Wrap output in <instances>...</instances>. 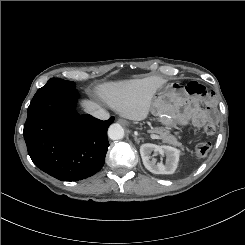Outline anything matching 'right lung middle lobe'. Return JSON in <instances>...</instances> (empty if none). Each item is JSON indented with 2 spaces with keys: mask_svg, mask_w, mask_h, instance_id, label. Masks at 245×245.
<instances>
[{
  "mask_svg": "<svg viewBox=\"0 0 245 245\" xmlns=\"http://www.w3.org/2000/svg\"><path fill=\"white\" fill-rule=\"evenodd\" d=\"M57 82L70 83V84H72V85H75V83H74V82L65 81V80L60 79V78H51V79H50V80L47 82V84L57 83ZM47 84H46V85H47Z\"/></svg>",
  "mask_w": 245,
  "mask_h": 245,
  "instance_id": "dd1d6c3e",
  "label": "right lung middle lobe"
}]
</instances>
